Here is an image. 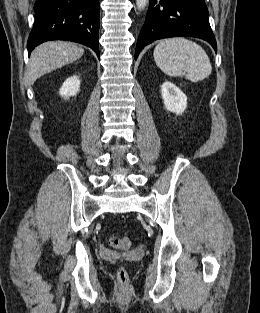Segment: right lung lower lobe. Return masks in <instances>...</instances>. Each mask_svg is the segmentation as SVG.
I'll return each instance as SVG.
<instances>
[{
	"label": "right lung lower lobe",
	"mask_w": 260,
	"mask_h": 313,
	"mask_svg": "<svg viewBox=\"0 0 260 313\" xmlns=\"http://www.w3.org/2000/svg\"><path fill=\"white\" fill-rule=\"evenodd\" d=\"M36 20L28 53L50 40H68L92 48L99 57V0H36Z\"/></svg>",
	"instance_id": "98d812e1"
}]
</instances>
